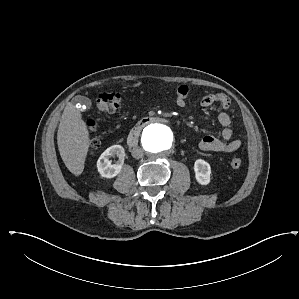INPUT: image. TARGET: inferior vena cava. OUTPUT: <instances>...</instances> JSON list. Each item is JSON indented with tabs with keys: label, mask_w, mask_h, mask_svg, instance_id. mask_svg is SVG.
Masks as SVG:
<instances>
[{
	"label": "inferior vena cava",
	"mask_w": 299,
	"mask_h": 299,
	"mask_svg": "<svg viewBox=\"0 0 299 299\" xmlns=\"http://www.w3.org/2000/svg\"><path fill=\"white\" fill-rule=\"evenodd\" d=\"M131 154L134 158L139 159L144 156V150L141 147H134Z\"/></svg>",
	"instance_id": "obj_1"
}]
</instances>
